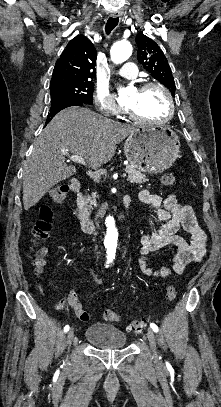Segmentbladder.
<instances>
[{
  "mask_svg": "<svg viewBox=\"0 0 221 407\" xmlns=\"http://www.w3.org/2000/svg\"><path fill=\"white\" fill-rule=\"evenodd\" d=\"M85 340L98 348L113 349L124 346L127 336L113 325L95 323L86 328Z\"/></svg>",
  "mask_w": 221,
  "mask_h": 407,
  "instance_id": "obj_1",
  "label": "bladder"
}]
</instances>
